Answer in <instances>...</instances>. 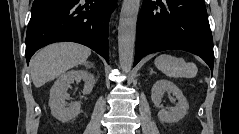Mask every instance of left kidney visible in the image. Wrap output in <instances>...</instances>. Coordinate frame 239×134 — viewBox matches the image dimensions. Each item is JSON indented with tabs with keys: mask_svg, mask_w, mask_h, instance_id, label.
<instances>
[{
	"mask_svg": "<svg viewBox=\"0 0 239 134\" xmlns=\"http://www.w3.org/2000/svg\"><path fill=\"white\" fill-rule=\"evenodd\" d=\"M165 92L172 93L176 97L178 103L175 107L164 108L161 105V100ZM151 99L156 106L161 107V110L158 112V119L161 122H178L184 118L189 109V104L182 91L173 82L166 79H160L155 82L152 87Z\"/></svg>",
	"mask_w": 239,
	"mask_h": 134,
	"instance_id": "5707ae66",
	"label": "left kidney"
}]
</instances>
